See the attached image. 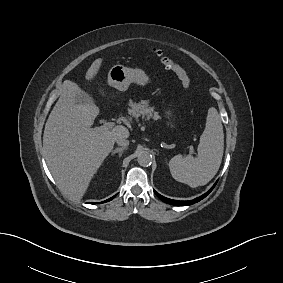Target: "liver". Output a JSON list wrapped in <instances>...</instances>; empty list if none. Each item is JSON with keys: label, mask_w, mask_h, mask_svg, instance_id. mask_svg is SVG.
<instances>
[{"label": "liver", "mask_w": 283, "mask_h": 283, "mask_svg": "<svg viewBox=\"0 0 283 283\" xmlns=\"http://www.w3.org/2000/svg\"><path fill=\"white\" fill-rule=\"evenodd\" d=\"M102 59L95 60L86 72L91 81L98 73ZM84 91L69 81L52 109L45 125L43 149L48 168L60 190L79 201L106 156L119 138H128L124 126L110 130L92 129L99 108L92 98L77 104Z\"/></svg>", "instance_id": "1"}]
</instances>
